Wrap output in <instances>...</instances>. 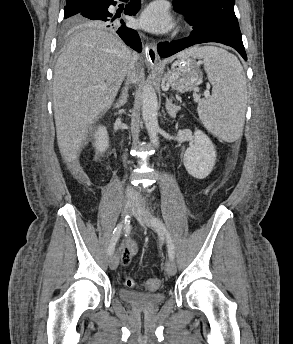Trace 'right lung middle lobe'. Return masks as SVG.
<instances>
[{
  "label": "right lung middle lobe",
  "instance_id": "obj_1",
  "mask_svg": "<svg viewBox=\"0 0 293 344\" xmlns=\"http://www.w3.org/2000/svg\"><path fill=\"white\" fill-rule=\"evenodd\" d=\"M87 2L66 5L64 7V31L68 32L80 27H92L99 25L79 15L80 11L86 6Z\"/></svg>",
  "mask_w": 293,
  "mask_h": 344
}]
</instances>
